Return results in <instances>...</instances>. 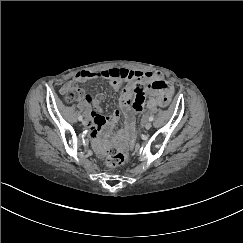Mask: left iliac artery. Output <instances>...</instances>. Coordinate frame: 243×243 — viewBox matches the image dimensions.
I'll return each instance as SVG.
<instances>
[{
    "instance_id": "44dca946",
    "label": "left iliac artery",
    "mask_w": 243,
    "mask_h": 243,
    "mask_svg": "<svg viewBox=\"0 0 243 243\" xmlns=\"http://www.w3.org/2000/svg\"><path fill=\"white\" fill-rule=\"evenodd\" d=\"M154 120V117L153 116H150L149 117V121H153Z\"/></svg>"
}]
</instances>
